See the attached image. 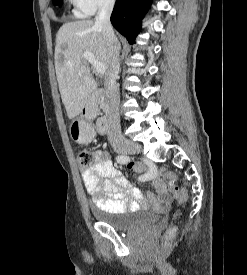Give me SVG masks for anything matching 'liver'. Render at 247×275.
I'll return each instance as SVG.
<instances>
[{
  "instance_id": "1",
  "label": "liver",
  "mask_w": 247,
  "mask_h": 275,
  "mask_svg": "<svg viewBox=\"0 0 247 275\" xmlns=\"http://www.w3.org/2000/svg\"><path fill=\"white\" fill-rule=\"evenodd\" d=\"M109 68L108 46L102 30L92 20L63 24L56 35L55 69L61 94L69 119L77 117L96 90L84 52Z\"/></svg>"
}]
</instances>
